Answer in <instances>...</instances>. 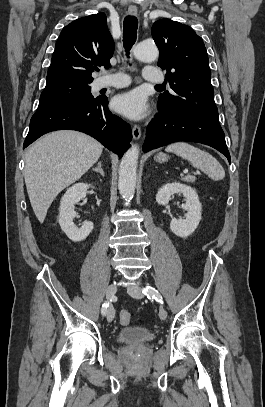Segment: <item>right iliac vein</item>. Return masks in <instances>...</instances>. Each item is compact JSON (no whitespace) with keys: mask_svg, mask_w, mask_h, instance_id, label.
<instances>
[{"mask_svg":"<svg viewBox=\"0 0 265 407\" xmlns=\"http://www.w3.org/2000/svg\"><path fill=\"white\" fill-rule=\"evenodd\" d=\"M117 291V287L115 284H111L108 286L106 290V297L107 299H112ZM115 311L114 308L110 305L106 311V317L108 322H111L114 319Z\"/></svg>","mask_w":265,"mask_h":407,"instance_id":"right-iliac-vein-1","label":"right iliac vein"}]
</instances>
